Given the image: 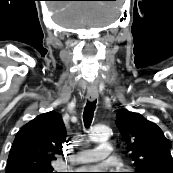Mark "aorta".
<instances>
[{
  "label": "aorta",
  "mask_w": 173,
  "mask_h": 173,
  "mask_svg": "<svg viewBox=\"0 0 173 173\" xmlns=\"http://www.w3.org/2000/svg\"><path fill=\"white\" fill-rule=\"evenodd\" d=\"M110 132L107 126H96L91 130L90 138L93 141H102L109 137Z\"/></svg>",
  "instance_id": "762f6f07"
}]
</instances>
